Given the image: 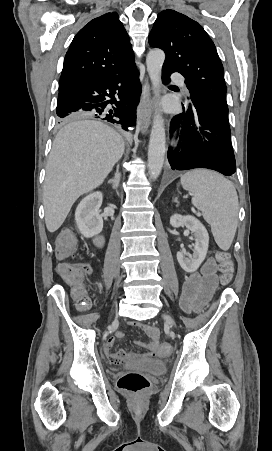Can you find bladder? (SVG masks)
<instances>
[{
  "label": "bladder",
  "instance_id": "31cf9c89",
  "mask_svg": "<svg viewBox=\"0 0 272 451\" xmlns=\"http://www.w3.org/2000/svg\"><path fill=\"white\" fill-rule=\"evenodd\" d=\"M134 366L141 373L153 374L156 376L162 375L166 372L167 361L151 355H143L134 358V361L125 364Z\"/></svg>",
  "mask_w": 272,
  "mask_h": 451
}]
</instances>
